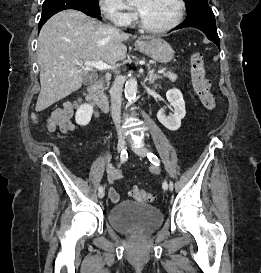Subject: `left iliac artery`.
I'll use <instances>...</instances> for the list:
<instances>
[{"mask_svg":"<svg viewBox=\"0 0 261 273\" xmlns=\"http://www.w3.org/2000/svg\"><path fill=\"white\" fill-rule=\"evenodd\" d=\"M147 157L150 160V162L153 163L155 166H159L160 165V161H159L158 157L156 155H154L153 153H148ZM162 188L164 190H166L168 188V184H167L166 181L163 182ZM169 188L171 190H173V183L172 182H170Z\"/></svg>","mask_w":261,"mask_h":273,"instance_id":"obj_1","label":"left iliac artery"}]
</instances>
